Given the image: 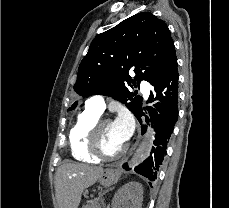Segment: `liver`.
Listing matches in <instances>:
<instances>
[{
    "label": "liver",
    "mask_w": 229,
    "mask_h": 208,
    "mask_svg": "<svg viewBox=\"0 0 229 208\" xmlns=\"http://www.w3.org/2000/svg\"><path fill=\"white\" fill-rule=\"evenodd\" d=\"M103 168L88 164H62L56 172V198L59 208H78L85 188L97 182Z\"/></svg>",
    "instance_id": "1"
}]
</instances>
